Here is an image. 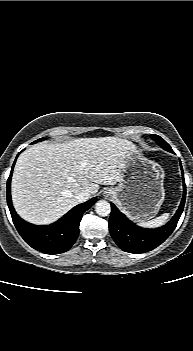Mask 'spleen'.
<instances>
[{
    "label": "spleen",
    "mask_w": 193,
    "mask_h": 351,
    "mask_svg": "<svg viewBox=\"0 0 193 351\" xmlns=\"http://www.w3.org/2000/svg\"><path fill=\"white\" fill-rule=\"evenodd\" d=\"M168 218H169V214L164 213L155 219H152V220L147 221V222H140L139 224L143 227H149V228L159 227V226L163 225L167 221Z\"/></svg>",
    "instance_id": "spleen-1"
}]
</instances>
